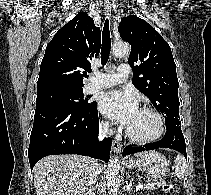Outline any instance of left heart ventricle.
Wrapping results in <instances>:
<instances>
[{
	"mask_svg": "<svg viewBox=\"0 0 211 195\" xmlns=\"http://www.w3.org/2000/svg\"><path fill=\"white\" fill-rule=\"evenodd\" d=\"M127 128L139 138H148L158 131L159 121L153 113L138 109Z\"/></svg>",
	"mask_w": 211,
	"mask_h": 195,
	"instance_id": "b2bd125f",
	"label": "left heart ventricle"
}]
</instances>
